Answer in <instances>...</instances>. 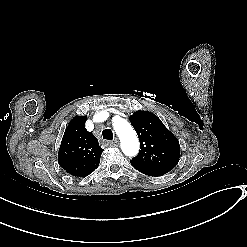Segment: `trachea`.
<instances>
[{"label":"trachea","mask_w":247,"mask_h":247,"mask_svg":"<svg viewBox=\"0 0 247 247\" xmlns=\"http://www.w3.org/2000/svg\"><path fill=\"white\" fill-rule=\"evenodd\" d=\"M102 137L104 140H109L112 141L113 140V132L111 129H104L102 132Z\"/></svg>","instance_id":"1"}]
</instances>
